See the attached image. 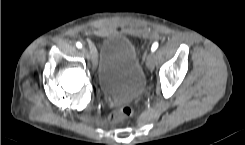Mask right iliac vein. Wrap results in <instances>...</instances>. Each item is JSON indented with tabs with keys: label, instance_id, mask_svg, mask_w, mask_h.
Segmentation results:
<instances>
[{
	"label": "right iliac vein",
	"instance_id": "63e3f726",
	"mask_svg": "<svg viewBox=\"0 0 245 145\" xmlns=\"http://www.w3.org/2000/svg\"><path fill=\"white\" fill-rule=\"evenodd\" d=\"M81 50L86 56L90 55L89 51L86 48L83 47Z\"/></svg>",
	"mask_w": 245,
	"mask_h": 145
}]
</instances>
